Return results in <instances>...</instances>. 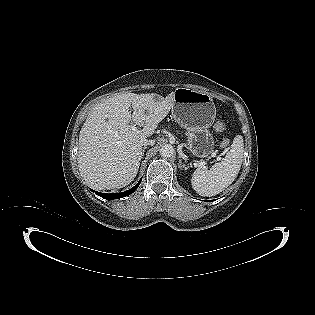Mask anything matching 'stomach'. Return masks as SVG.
<instances>
[{
    "label": "stomach",
    "instance_id": "0dacf381",
    "mask_svg": "<svg viewBox=\"0 0 315 315\" xmlns=\"http://www.w3.org/2000/svg\"><path fill=\"white\" fill-rule=\"evenodd\" d=\"M172 116L186 131L189 152L199 158L210 157L215 141L209 128L216 117L212 97L198 90L177 88L174 91Z\"/></svg>",
    "mask_w": 315,
    "mask_h": 315
}]
</instances>
